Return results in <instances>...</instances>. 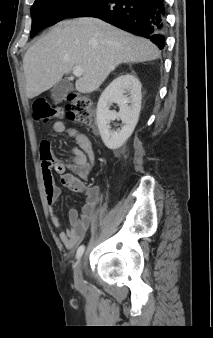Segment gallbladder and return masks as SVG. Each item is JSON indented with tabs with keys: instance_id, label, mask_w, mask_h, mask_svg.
I'll use <instances>...</instances> for the list:
<instances>
[{
	"instance_id": "gallbladder-1",
	"label": "gallbladder",
	"mask_w": 213,
	"mask_h": 338,
	"mask_svg": "<svg viewBox=\"0 0 213 338\" xmlns=\"http://www.w3.org/2000/svg\"><path fill=\"white\" fill-rule=\"evenodd\" d=\"M72 90L73 85L68 80L62 79L51 89V96L55 102H60Z\"/></svg>"
}]
</instances>
